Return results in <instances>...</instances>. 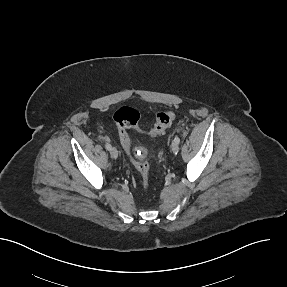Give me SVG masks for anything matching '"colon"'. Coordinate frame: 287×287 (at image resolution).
<instances>
[{"instance_id":"colon-1","label":"colon","mask_w":287,"mask_h":287,"mask_svg":"<svg viewBox=\"0 0 287 287\" xmlns=\"http://www.w3.org/2000/svg\"><path fill=\"white\" fill-rule=\"evenodd\" d=\"M113 119L118 129L120 141L130 155L133 165L141 176L142 186L146 188L149 184V164L146 160L135 157L128 131L134 130L150 137L162 135L173 123L175 113L173 111H162L157 113L154 124L147 130L140 127V113L129 106L120 107L114 113Z\"/></svg>"}]
</instances>
